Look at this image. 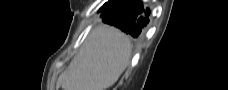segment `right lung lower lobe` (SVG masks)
I'll return each mask as SVG.
<instances>
[{
  "label": "right lung lower lobe",
  "instance_id": "98d812e1",
  "mask_svg": "<svg viewBox=\"0 0 228 90\" xmlns=\"http://www.w3.org/2000/svg\"><path fill=\"white\" fill-rule=\"evenodd\" d=\"M102 21L115 26L136 40L142 37L143 28L149 23V8L137 0H110L100 9Z\"/></svg>",
  "mask_w": 228,
  "mask_h": 90
}]
</instances>
